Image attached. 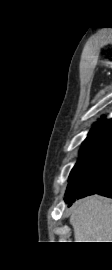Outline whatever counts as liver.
<instances>
[{"label":"liver","mask_w":112,"mask_h":270,"mask_svg":"<svg viewBox=\"0 0 112 270\" xmlns=\"http://www.w3.org/2000/svg\"><path fill=\"white\" fill-rule=\"evenodd\" d=\"M70 224L75 242H112V203L99 196L85 198L74 206Z\"/></svg>","instance_id":"obj_1"}]
</instances>
